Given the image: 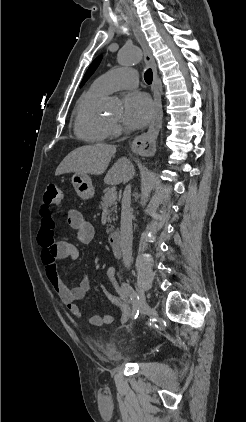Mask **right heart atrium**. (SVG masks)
Listing matches in <instances>:
<instances>
[{
    "mask_svg": "<svg viewBox=\"0 0 246 422\" xmlns=\"http://www.w3.org/2000/svg\"><path fill=\"white\" fill-rule=\"evenodd\" d=\"M122 127L117 123H110L109 125V135L111 137L119 136L122 133Z\"/></svg>",
    "mask_w": 246,
    "mask_h": 422,
    "instance_id": "right-heart-atrium-1",
    "label": "right heart atrium"
}]
</instances>
